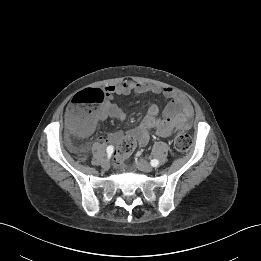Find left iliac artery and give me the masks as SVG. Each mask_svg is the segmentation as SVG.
<instances>
[{
	"instance_id": "left-iliac-artery-1",
	"label": "left iliac artery",
	"mask_w": 261,
	"mask_h": 261,
	"mask_svg": "<svg viewBox=\"0 0 261 261\" xmlns=\"http://www.w3.org/2000/svg\"><path fill=\"white\" fill-rule=\"evenodd\" d=\"M150 164L153 166V167H157L159 165V161L157 159H153L151 160Z\"/></svg>"
}]
</instances>
